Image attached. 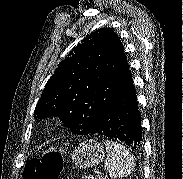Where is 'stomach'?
Segmentation results:
<instances>
[{"label": "stomach", "instance_id": "stomach-1", "mask_svg": "<svg viewBox=\"0 0 183 179\" xmlns=\"http://www.w3.org/2000/svg\"><path fill=\"white\" fill-rule=\"evenodd\" d=\"M103 146L94 141H84L74 150L72 154L73 163L80 168H89L100 164L104 159Z\"/></svg>", "mask_w": 183, "mask_h": 179}]
</instances>
